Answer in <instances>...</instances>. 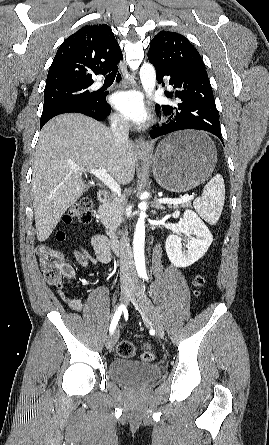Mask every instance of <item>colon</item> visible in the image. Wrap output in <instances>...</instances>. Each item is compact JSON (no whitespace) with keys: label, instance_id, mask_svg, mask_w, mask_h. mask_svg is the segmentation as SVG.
I'll list each match as a JSON object with an SVG mask.
<instances>
[{"label":"colon","instance_id":"1","mask_svg":"<svg viewBox=\"0 0 269 445\" xmlns=\"http://www.w3.org/2000/svg\"><path fill=\"white\" fill-rule=\"evenodd\" d=\"M91 200L88 198H82L75 202L69 209L68 214L65 216L67 223L72 220H77L80 223H89L92 219L91 214ZM65 238L64 232L58 233V239L63 240ZM37 256L39 262L44 271L46 280L51 285L60 287L62 285L63 278H68L66 273V263L64 256L54 247L49 245H40L37 248ZM194 286L196 294L205 284V278L202 275H197L194 278ZM135 346L130 341H121L117 347V353L122 358H131L135 355ZM155 354L152 351H145L142 354V360L153 361Z\"/></svg>","mask_w":269,"mask_h":445}]
</instances>
